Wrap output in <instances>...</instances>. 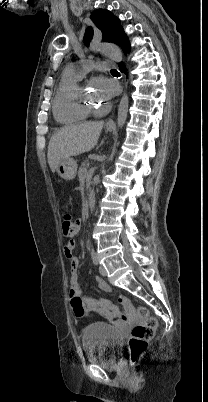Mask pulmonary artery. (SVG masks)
I'll list each match as a JSON object with an SVG mask.
<instances>
[{"label":"pulmonary artery","mask_w":208,"mask_h":402,"mask_svg":"<svg viewBox=\"0 0 208 402\" xmlns=\"http://www.w3.org/2000/svg\"><path fill=\"white\" fill-rule=\"evenodd\" d=\"M82 62L83 61H79L78 63L69 64L65 69V74L76 80H80L84 76V74L88 71V68H83V69L80 68L81 66L79 64ZM108 64L109 63L107 60H105V59L100 60L98 62L97 69L99 71H107L110 69V66Z\"/></svg>","instance_id":"e3ab8cb5"}]
</instances>
